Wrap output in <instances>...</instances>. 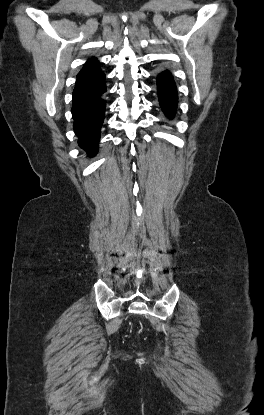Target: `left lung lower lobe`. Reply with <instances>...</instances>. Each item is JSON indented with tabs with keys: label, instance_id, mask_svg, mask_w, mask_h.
<instances>
[{
	"label": "left lung lower lobe",
	"instance_id": "obj_1",
	"mask_svg": "<svg viewBox=\"0 0 264 415\" xmlns=\"http://www.w3.org/2000/svg\"><path fill=\"white\" fill-rule=\"evenodd\" d=\"M159 102L168 117H172L177 105V91L171 74L161 72L157 77Z\"/></svg>",
	"mask_w": 264,
	"mask_h": 415
}]
</instances>
